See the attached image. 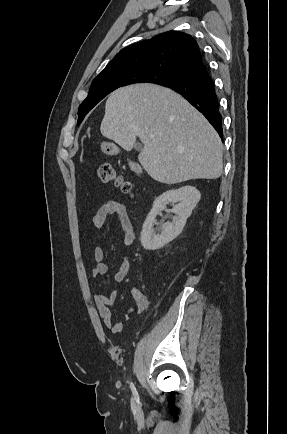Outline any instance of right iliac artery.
I'll return each instance as SVG.
<instances>
[{
  "mask_svg": "<svg viewBox=\"0 0 287 434\" xmlns=\"http://www.w3.org/2000/svg\"><path fill=\"white\" fill-rule=\"evenodd\" d=\"M130 387H131V389H132V391H133L134 396L137 397V392H136V389H135L134 384L131 383V384H130Z\"/></svg>",
  "mask_w": 287,
  "mask_h": 434,
  "instance_id": "1",
  "label": "right iliac artery"
}]
</instances>
